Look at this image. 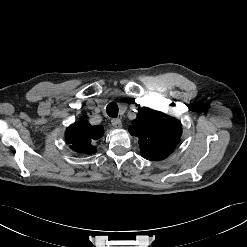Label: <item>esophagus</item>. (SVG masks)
I'll list each match as a JSON object with an SVG mask.
<instances>
[{"instance_id":"esophagus-1","label":"esophagus","mask_w":247,"mask_h":247,"mask_svg":"<svg viewBox=\"0 0 247 247\" xmlns=\"http://www.w3.org/2000/svg\"><path fill=\"white\" fill-rule=\"evenodd\" d=\"M111 123H112L113 127H115V128H121L122 127V122L119 118H113L111 120Z\"/></svg>"}]
</instances>
